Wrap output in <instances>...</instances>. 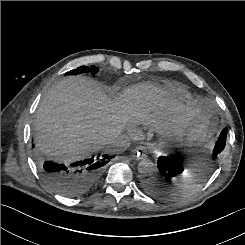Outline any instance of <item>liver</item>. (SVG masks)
Returning a JSON list of instances; mask_svg holds the SVG:
<instances>
[{
	"mask_svg": "<svg viewBox=\"0 0 245 245\" xmlns=\"http://www.w3.org/2000/svg\"><path fill=\"white\" fill-rule=\"evenodd\" d=\"M203 102L185 104L150 84L133 86L111 99L93 81L67 77L40 103L35 143L50 159L72 162L115 139L128 121L150 125L165 137L176 136Z\"/></svg>",
	"mask_w": 245,
	"mask_h": 245,
	"instance_id": "6515ba94",
	"label": "liver"
}]
</instances>
